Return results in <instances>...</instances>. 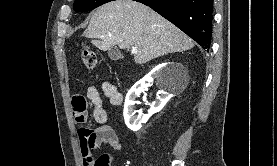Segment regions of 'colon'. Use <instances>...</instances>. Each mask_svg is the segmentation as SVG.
<instances>
[{
	"mask_svg": "<svg viewBox=\"0 0 277 166\" xmlns=\"http://www.w3.org/2000/svg\"><path fill=\"white\" fill-rule=\"evenodd\" d=\"M81 57H82L83 64L87 69H94L96 67V64H97L96 55L93 51H91L87 47L83 48ZM100 164L101 163L99 161L96 162L97 166H99Z\"/></svg>",
	"mask_w": 277,
	"mask_h": 166,
	"instance_id": "colon-1",
	"label": "colon"
}]
</instances>
